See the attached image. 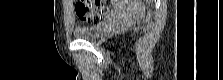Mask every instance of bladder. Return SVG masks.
I'll list each match as a JSON object with an SVG mask.
<instances>
[{
    "label": "bladder",
    "mask_w": 223,
    "mask_h": 80,
    "mask_svg": "<svg viewBox=\"0 0 223 80\" xmlns=\"http://www.w3.org/2000/svg\"><path fill=\"white\" fill-rule=\"evenodd\" d=\"M105 29V22L90 26H77L73 31V35L77 39L97 40L103 35Z\"/></svg>",
    "instance_id": "obj_1"
}]
</instances>
